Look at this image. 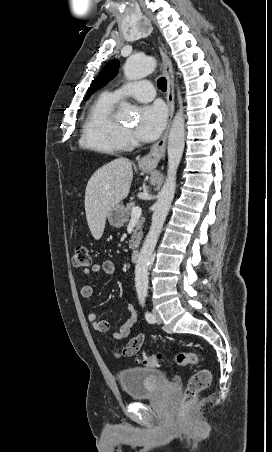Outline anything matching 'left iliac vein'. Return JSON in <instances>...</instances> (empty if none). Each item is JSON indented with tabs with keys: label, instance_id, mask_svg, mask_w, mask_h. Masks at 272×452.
Masks as SVG:
<instances>
[{
	"label": "left iliac vein",
	"instance_id": "obj_1",
	"mask_svg": "<svg viewBox=\"0 0 272 452\" xmlns=\"http://www.w3.org/2000/svg\"><path fill=\"white\" fill-rule=\"evenodd\" d=\"M153 315L155 317L156 323L161 324L162 323V319L160 317L159 312L156 309H153Z\"/></svg>",
	"mask_w": 272,
	"mask_h": 452
}]
</instances>
